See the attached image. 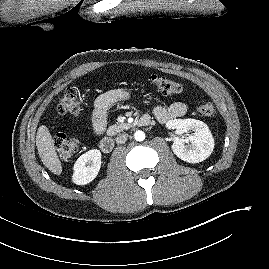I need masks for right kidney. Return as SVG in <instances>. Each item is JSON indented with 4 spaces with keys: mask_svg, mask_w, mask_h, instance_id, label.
Instances as JSON below:
<instances>
[{
    "mask_svg": "<svg viewBox=\"0 0 269 269\" xmlns=\"http://www.w3.org/2000/svg\"><path fill=\"white\" fill-rule=\"evenodd\" d=\"M101 167V152L97 149L82 154L74 164L72 181L77 185H86L93 181Z\"/></svg>",
    "mask_w": 269,
    "mask_h": 269,
    "instance_id": "ca27d5eb",
    "label": "right kidney"
}]
</instances>
